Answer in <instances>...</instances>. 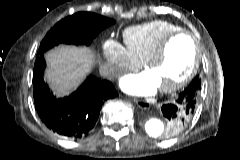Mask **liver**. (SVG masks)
<instances>
[{
    "mask_svg": "<svg viewBox=\"0 0 240 160\" xmlns=\"http://www.w3.org/2000/svg\"><path fill=\"white\" fill-rule=\"evenodd\" d=\"M45 77L58 96L69 94L90 71L95 55L91 49L60 45L45 54Z\"/></svg>",
    "mask_w": 240,
    "mask_h": 160,
    "instance_id": "liver-1",
    "label": "liver"
}]
</instances>
